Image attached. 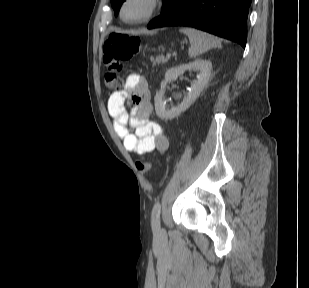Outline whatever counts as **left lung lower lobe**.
<instances>
[{
    "mask_svg": "<svg viewBox=\"0 0 309 288\" xmlns=\"http://www.w3.org/2000/svg\"><path fill=\"white\" fill-rule=\"evenodd\" d=\"M250 4L251 0H175L147 27H195L245 47Z\"/></svg>",
    "mask_w": 309,
    "mask_h": 288,
    "instance_id": "obj_1",
    "label": "left lung lower lobe"
}]
</instances>
